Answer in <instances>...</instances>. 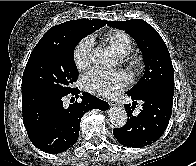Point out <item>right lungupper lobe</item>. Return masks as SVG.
<instances>
[{
    "label": "right lung upper lobe",
    "mask_w": 196,
    "mask_h": 166,
    "mask_svg": "<svg viewBox=\"0 0 196 166\" xmlns=\"http://www.w3.org/2000/svg\"><path fill=\"white\" fill-rule=\"evenodd\" d=\"M108 23L106 20H88V19H78V20H71L65 23L56 25L51 27L47 33L41 38L40 41H47V40H60L65 33V29L70 24H78L84 27L89 34L98 30L99 28L105 26Z\"/></svg>",
    "instance_id": "obj_1"
}]
</instances>
